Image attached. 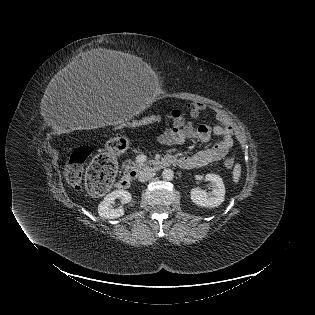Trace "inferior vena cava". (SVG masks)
Listing matches in <instances>:
<instances>
[{"label": "inferior vena cava", "mask_w": 315, "mask_h": 315, "mask_svg": "<svg viewBox=\"0 0 315 315\" xmlns=\"http://www.w3.org/2000/svg\"><path fill=\"white\" fill-rule=\"evenodd\" d=\"M155 176V170L151 167H144L140 170L138 174V179L141 182L150 180Z\"/></svg>", "instance_id": "obj_1"}]
</instances>
